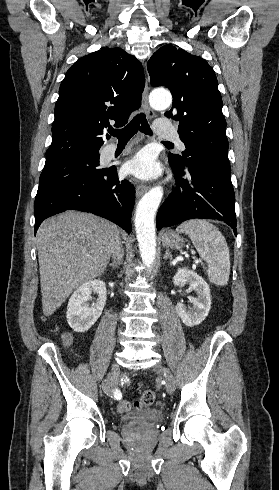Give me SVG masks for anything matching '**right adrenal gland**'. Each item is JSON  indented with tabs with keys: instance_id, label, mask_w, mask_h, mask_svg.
<instances>
[{
	"instance_id": "obj_1",
	"label": "right adrenal gland",
	"mask_w": 279,
	"mask_h": 490,
	"mask_svg": "<svg viewBox=\"0 0 279 490\" xmlns=\"http://www.w3.org/2000/svg\"><path fill=\"white\" fill-rule=\"evenodd\" d=\"M120 264H109V268H113V270H116V268H119Z\"/></svg>"
}]
</instances>
